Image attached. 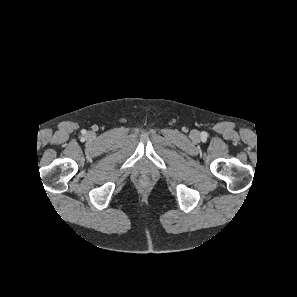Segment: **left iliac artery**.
<instances>
[{
	"mask_svg": "<svg viewBox=\"0 0 297 297\" xmlns=\"http://www.w3.org/2000/svg\"><path fill=\"white\" fill-rule=\"evenodd\" d=\"M206 137H207V133L206 132H203L202 133V138L205 139Z\"/></svg>",
	"mask_w": 297,
	"mask_h": 297,
	"instance_id": "left-iliac-artery-1",
	"label": "left iliac artery"
}]
</instances>
